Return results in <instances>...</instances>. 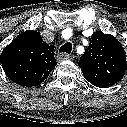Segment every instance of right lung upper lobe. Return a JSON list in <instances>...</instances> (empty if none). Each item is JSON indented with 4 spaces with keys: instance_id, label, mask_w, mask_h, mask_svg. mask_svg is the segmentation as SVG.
<instances>
[{
    "instance_id": "cb5924a9",
    "label": "right lung upper lobe",
    "mask_w": 127,
    "mask_h": 127,
    "mask_svg": "<svg viewBox=\"0 0 127 127\" xmlns=\"http://www.w3.org/2000/svg\"><path fill=\"white\" fill-rule=\"evenodd\" d=\"M0 61L10 80L26 87L42 83L57 65L54 46L46 44L33 30L19 34L6 46Z\"/></svg>"
}]
</instances>
